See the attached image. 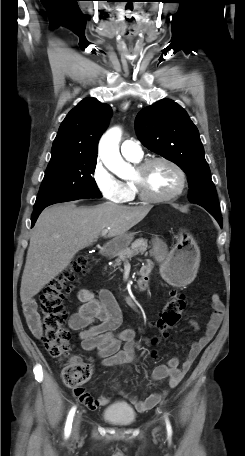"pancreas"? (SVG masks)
<instances>
[{"label": "pancreas", "mask_w": 245, "mask_h": 456, "mask_svg": "<svg viewBox=\"0 0 245 456\" xmlns=\"http://www.w3.org/2000/svg\"><path fill=\"white\" fill-rule=\"evenodd\" d=\"M147 249H148L147 240L140 238V239L135 240L131 244L130 247H126L124 249L113 251L112 256L118 257L114 266H120L122 261L132 258L133 256H136L139 253L147 255L148 254ZM149 253H150V255L152 254L151 251H149Z\"/></svg>", "instance_id": "1"}]
</instances>
